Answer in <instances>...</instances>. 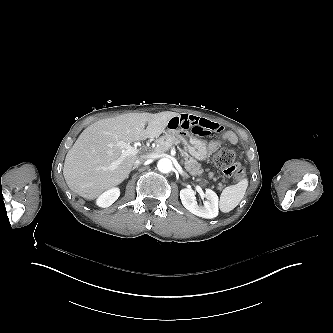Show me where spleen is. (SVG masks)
Here are the masks:
<instances>
[{"label":"spleen","mask_w":333,"mask_h":333,"mask_svg":"<svg viewBox=\"0 0 333 333\" xmlns=\"http://www.w3.org/2000/svg\"><path fill=\"white\" fill-rule=\"evenodd\" d=\"M248 186V177L240 179L236 184L226 186L220 194V211L223 213H229L235 209L244 198Z\"/></svg>","instance_id":"3e777b00"}]
</instances>
